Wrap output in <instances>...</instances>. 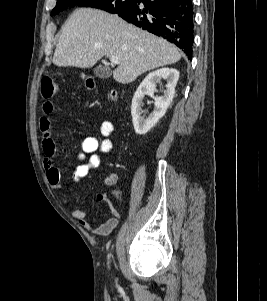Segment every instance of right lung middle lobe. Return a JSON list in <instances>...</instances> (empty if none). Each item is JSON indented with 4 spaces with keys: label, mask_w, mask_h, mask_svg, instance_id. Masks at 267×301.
<instances>
[{
    "label": "right lung middle lobe",
    "mask_w": 267,
    "mask_h": 301,
    "mask_svg": "<svg viewBox=\"0 0 267 301\" xmlns=\"http://www.w3.org/2000/svg\"><path fill=\"white\" fill-rule=\"evenodd\" d=\"M138 0H57L56 7L52 10L54 16L68 6L97 8L109 13L118 14L131 9Z\"/></svg>",
    "instance_id": "1"
}]
</instances>
